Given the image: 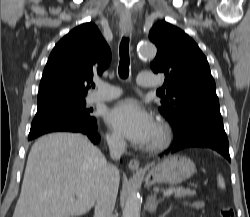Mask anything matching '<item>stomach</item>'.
Segmentation results:
<instances>
[{"label":"stomach","mask_w":250,"mask_h":217,"mask_svg":"<svg viewBox=\"0 0 250 217\" xmlns=\"http://www.w3.org/2000/svg\"><path fill=\"white\" fill-rule=\"evenodd\" d=\"M195 173V164L189 158L171 156L152 167L146 181L151 184H179L189 179Z\"/></svg>","instance_id":"1"}]
</instances>
